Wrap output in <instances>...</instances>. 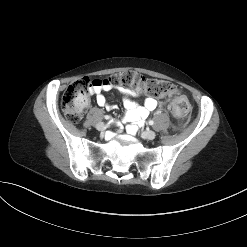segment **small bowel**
<instances>
[{"mask_svg":"<svg viewBox=\"0 0 247 247\" xmlns=\"http://www.w3.org/2000/svg\"><path fill=\"white\" fill-rule=\"evenodd\" d=\"M111 89H113L111 85L97 83L91 87L90 92L95 95L96 102L100 107L113 109L114 106L109 104L102 94V92L109 91ZM116 89L123 96V103L125 107L123 121L130 123L127 125L126 131L129 134H134L137 131L138 126L144 124L146 118L157 108L160 102L151 96L146 97L143 104H139L134 101L133 99L141 94V89L139 87H117Z\"/></svg>","mask_w":247,"mask_h":247,"instance_id":"c3829d8e","label":"small bowel"}]
</instances>
